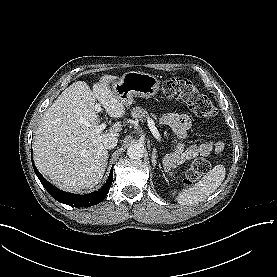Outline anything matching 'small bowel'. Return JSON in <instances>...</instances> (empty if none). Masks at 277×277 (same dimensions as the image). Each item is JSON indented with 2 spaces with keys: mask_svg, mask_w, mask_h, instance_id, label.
I'll list each match as a JSON object with an SVG mask.
<instances>
[{
  "mask_svg": "<svg viewBox=\"0 0 277 277\" xmlns=\"http://www.w3.org/2000/svg\"><path fill=\"white\" fill-rule=\"evenodd\" d=\"M162 125L171 128L173 133L181 140L176 153L171 157L173 160L190 161L197 156H207L214 151L220 150V145L213 139H207L199 145L186 146L184 140L187 131L191 127V119L187 115L169 112L160 118Z\"/></svg>",
  "mask_w": 277,
  "mask_h": 277,
  "instance_id": "c3829d8e",
  "label": "small bowel"
}]
</instances>
